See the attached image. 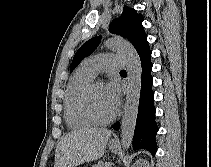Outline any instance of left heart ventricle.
Here are the masks:
<instances>
[{"instance_id": "1", "label": "left heart ventricle", "mask_w": 211, "mask_h": 167, "mask_svg": "<svg viewBox=\"0 0 211 167\" xmlns=\"http://www.w3.org/2000/svg\"><path fill=\"white\" fill-rule=\"evenodd\" d=\"M91 107L94 113L100 118H108L115 111L111 108L104 92V86L97 83L91 94Z\"/></svg>"}]
</instances>
